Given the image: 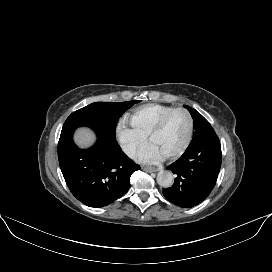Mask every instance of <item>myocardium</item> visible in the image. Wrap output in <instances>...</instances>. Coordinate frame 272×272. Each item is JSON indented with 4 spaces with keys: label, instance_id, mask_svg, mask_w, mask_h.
<instances>
[{
    "label": "myocardium",
    "instance_id": "f54148a6",
    "mask_svg": "<svg viewBox=\"0 0 272 272\" xmlns=\"http://www.w3.org/2000/svg\"><path fill=\"white\" fill-rule=\"evenodd\" d=\"M176 112H182L186 115V117L188 119V134H187L186 140L184 141V143L181 145L180 148H178L176 151H174L168 155H165V158H167V159H174V158L179 157L189 147V145L192 141V138H193V134H194V120H193L191 113L183 107L173 108L170 111L163 114L157 120V122L154 124V126L151 128L150 132L148 133V139H149V141H151L152 137L163 128V126L165 125V123L169 119V117Z\"/></svg>",
    "mask_w": 272,
    "mask_h": 272
}]
</instances>
